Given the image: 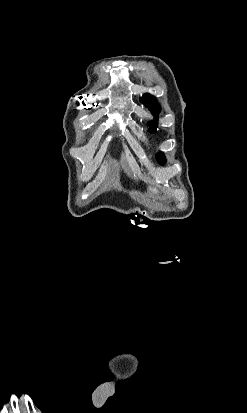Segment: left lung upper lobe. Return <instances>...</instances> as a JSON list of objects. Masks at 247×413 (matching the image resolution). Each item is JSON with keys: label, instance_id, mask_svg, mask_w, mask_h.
I'll list each match as a JSON object with an SVG mask.
<instances>
[{"label": "left lung upper lobe", "instance_id": "5c2ea615", "mask_svg": "<svg viewBox=\"0 0 247 413\" xmlns=\"http://www.w3.org/2000/svg\"><path fill=\"white\" fill-rule=\"evenodd\" d=\"M142 103L148 107L151 112L156 115L157 113L160 112V105L157 104V101L155 99V97H153L150 94H144L141 98ZM150 125V129L149 132L153 133L156 132V128H157V121H152L149 123ZM158 163H160L161 165H163L166 162V159L164 157V154L162 152H160L157 157H156Z\"/></svg>", "mask_w": 247, "mask_h": 413}]
</instances>
